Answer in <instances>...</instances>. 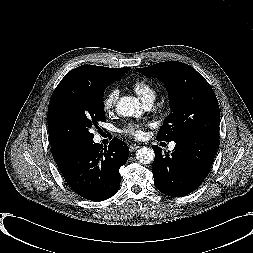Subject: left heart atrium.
Instances as JSON below:
<instances>
[{"label": "left heart atrium", "mask_w": 253, "mask_h": 253, "mask_svg": "<svg viewBox=\"0 0 253 253\" xmlns=\"http://www.w3.org/2000/svg\"><path fill=\"white\" fill-rule=\"evenodd\" d=\"M123 132L137 140L143 139L145 137V127L143 124L140 123H131L128 124Z\"/></svg>", "instance_id": "left-heart-atrium-1"}]
</instances>
